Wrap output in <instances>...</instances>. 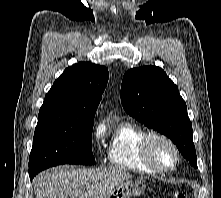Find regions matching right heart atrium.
I'll return each mask as SVG.
<instances>
[{"instance_id": "d8ad5b80", "label": "right heart atrium", "mask_w": 221, "mask_h": 198, "mask_svg": "<svg viewBox=\"0 0 221 198\" xmlns=\"http://www.w3.org/2000/svg\"><path fill=\"white\" fill-rule=\"evenodd\" d=\"M104 130L102 127L96 128V130L93 133V139L95 142H99L103 136Z\"/></svg>"}]
</instances>
